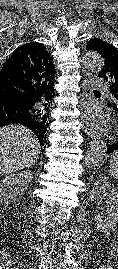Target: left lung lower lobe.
<instances>
[{
	"label": "left lung lower lobe",
	"mask_w": 118,
	"mask_h": 269,
	"mask_svg": "<svg viewBox=\"0 0 118 269\" xmlns=\"http://www.w3.org/2000/svg\"><path fill=\"white\" fill-rule=\"evenodd\" d=\"M118 113V111H117ZM113 151H118V141H116L115 143L111 144V145H107V154L112 153Z\"/></svg>",
	"instance_id": "0a47b994"
}]
</instances>
